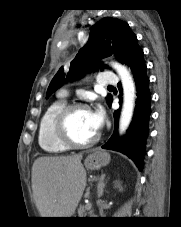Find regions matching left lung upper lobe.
Instances as JSON below:
<instances>
[{
	"instance_id": "1",
	"label": "left lung upper lobe",
	"mask_w": 181,
	"mask_h": 227,
	"mask_svg": "<svg viewBox=\"0 0 181 227\" xmlns=\"http://www.w3.org/2000/svg\"><path fill=\"white\" fill-rule=\"evenodd\" d=\"M137 44V37L126 22L112 17L103 18L93 25L87 44L79 50L69 71L65 72L61 67L54 76L46 98L68 80L80 78L98 68H105L106 65L100 62L105 57L114 55L118 61L125 63L131 49ZM107 100L109 104L112 96L108 95Z\"/></svg>"
}]
</instances>
